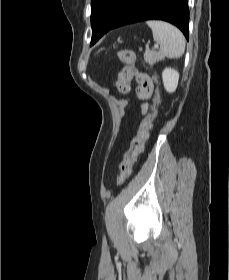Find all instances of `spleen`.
Listing matches in <instances>:
<instances>
[{
  "instance_id": "obj_1",
  "label": "spleen",
  "mask_w": 229,
  "mask_h": 280,
  "mask_svg": "<svg viewBox=\"0 0 229 280\" xmlns=\"http://www.w3.org/2000/svg\"><path fill=\"white\" fill-rule=\"evenodd\" d=\"M147 25L151 28L154 41L160 45V53L168 58H179L185 50V38L181 31L166 22L150 20Z\"/></svg>"
}]
</instances>
